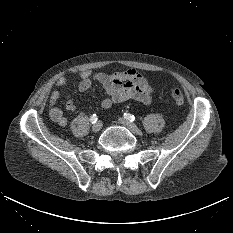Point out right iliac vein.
<instances>
[{
	"instance_id": "1",
	"label": "right iliac vein",
	"mask_w": 233,
	"mask_h": 233,
	"mask_svg": "<svg viewBox=\"0 0 233 233\" xmlns=\"http://www.w3.org/2000/svg\"><path fill=\"white\" fill-rule=\"evenodd\" d=\"M101 128H102V122L98 121L95 124H93L92 131L96 133V132H99Z\"/></svg>"
}]
</instances>
